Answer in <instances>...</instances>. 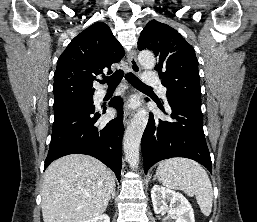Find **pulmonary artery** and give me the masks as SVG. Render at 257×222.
<instances>
[{
  "label": "pulmonary artery",
  "mask_w": 257,
  "mask_h": 222,
  "mask_svg": "<svg viewBox=\"0 0 257 222\" xmlns=\"http://www.w3.org/2000/svg\"><path fill=\"white\" fill-rule=\"evenodd\" d=\"M143 82L146 85L149 86H155L158 87L160 90V93L165 96L166 95V88L161 84L158 76L153 72H145L143 75ZM106 95L105 90H98L96 92V99L100 100Z\"/></svg>",
  "instance_id": "1"
}]
</instances>
